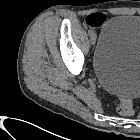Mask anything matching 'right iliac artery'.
Listing matches in <instances>:
<instances>
[{
  "mask_svg": "<svg viewBox=\"0 0 140 140\" xmlns=\"http://www.w3.org/2000/svg\"><path fill=\"white\" fill-rule=\"evenodd\" d=\"M88 34H89V35H92V34H93V30H89V31H88Z\"/></svg>",
  "mask_w": 140,
  "mask_h": 140,
  "instance_id": "82829eb1",
  "label": "right iliac artery"
}]
</instances>
